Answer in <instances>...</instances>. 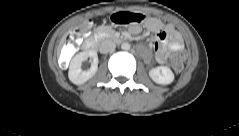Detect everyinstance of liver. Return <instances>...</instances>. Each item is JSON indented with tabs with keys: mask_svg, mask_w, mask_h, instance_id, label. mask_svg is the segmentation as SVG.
<instances>
[{
	"mask_svg": "<svg viewBox=\"0 0 239 136\" xmlns=\"http://www.w3.org/2000/svg\"><path fill=\"white\" fill-rule=\"evenodd\" d=\"M66 36H67V34H65V35L62 37L61 43H64V41H65V39H66Z\"/></svg>",
	"mask_w": 239,
	"mask_h": 136,
	"instance_id": "liver-1",
	"label": "liver"
}]
</instances>
